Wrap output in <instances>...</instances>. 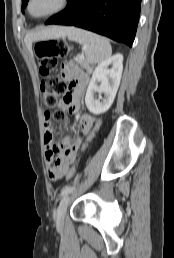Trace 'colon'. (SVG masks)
Listing matches in <instances>:
<instances>
[{"mask_svg": "<svg viewBox=\"0 0 174 258\" xmlns=\"http://www.w3.org/2000/svg\"><path fill=\"white\" fill-rule=\"evenodd\" d=\"M34 52L39 63L41 74L46 78L41 82V91L45 105L49 108L48 113L55 121H62L65 118L63 110L59 109L58 101L60 96L68 90V83L61 78L50 76L55 69L60 57L67 56L71 47L64 40H42L35 44ZM101 126L100 120H95L91 133L88 136L87 144L91 142ZM75 175V167L72 166L66 173L67 179Z\"/></svg>", "mask_w": 174, "mask_h": 258, "instance_id": "colon-1", "label": "colon"}]
</instances>
